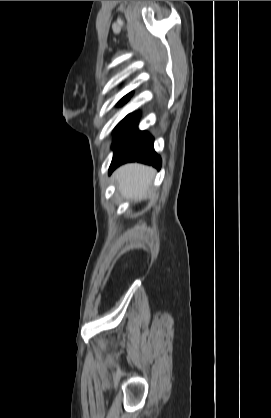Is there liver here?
Returning a JSON list of instances; mask_svg holds the SVG:
<instances>
[{
  "label": "liver",
  "mask_w": 271,
  "mask_h": 418,
  "mask_svg": "<svg viewBox=\"0 0 271 418\" xmlns=\"http://www.w3.org/2000/svg\"><path fill=\"white\" fill-rule=\"evenodd\" d=\"M154 174L155 170L152 167L131 163L118 168L114 177L122 196L136 201L147 195Z\"/></svg>",
  "instance_id": "6515ba94"
}]
</instances>
